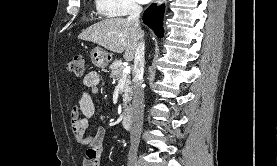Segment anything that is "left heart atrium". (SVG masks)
I'll return each instance as SVG.
<instances>
[{
	"label": "left heart atrium",
	"instance_id": "1",
	"mask_svg": "<svg viewBox=\"0 0 277 166\" xmlns=\"http://www.w3.org/2000/svg\"><path fill=\"white\" fill-rule=\"evenodd\" d=\"M138 2H140V3H148V2H150L151 0H137Z\"/></svg>",
	"mask_w": 277,
	"mask_h": 166
}]
</instances>
